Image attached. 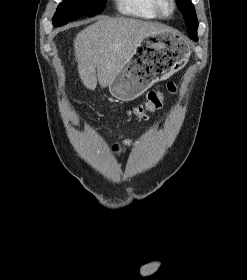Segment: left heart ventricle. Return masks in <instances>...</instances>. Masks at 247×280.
Here are the masks:
<instances>
[{
  "mask_svg": "<svg viewBox=\"0 0 247 280\" xmlns=\"http://www.w3.org/2000/svg\"><path fill=\"white\" fill-rule=\"evenodd\" d=\"M166 11H169V7H166Z\"/></svg>",
  "mask_w": 247,
  "mask_h": 280,
  "instance_id": "b2bd125f",
  "label": "left heart ventricle"
}]
</instances>
